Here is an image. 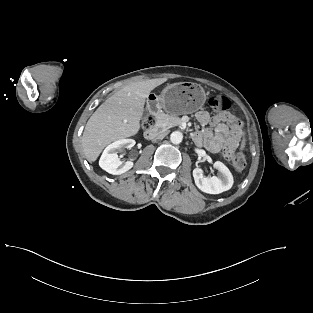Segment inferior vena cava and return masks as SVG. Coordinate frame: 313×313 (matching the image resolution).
Segmentation results:
<instances>
[{
	"label": "inferior vena cava",
	"mask_w": 313,
	"mask_h": 313,
	"mask_svg": "<svg viewBox=\"0 0 313 313\" xmlns=\"http://www.w3.org/2000/svg\"><path fill=\"white\" fill-rule=\"evenodd\" d=\"M168 134L167 130H154L151 135L152 140L163 139Z\"/></svg>",
	"instance_id": "602c4592"
}]
</instances>
